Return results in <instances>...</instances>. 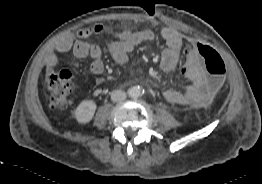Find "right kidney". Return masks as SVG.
<instances>
[{"label": "right kidney", "instance_id": "right-kidney-1", "mask_svg": "<svg viewBox=\"0 0 262 184\" xmlns=\"http://www.w3.org/2000/svg\"><path fill=\"white\" fill-rule=\"evenodd\" d=\"M95 110V102L92 100L82 101L75 111L76 119L80 123H87L93 118Z\"/></svg>", "mask_w": 262, "mask_h": 184}]
</instances>
